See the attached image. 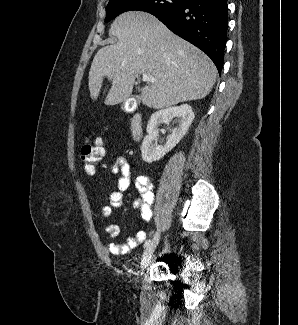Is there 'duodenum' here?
<instances>
[{
	"label": "duodenum",
	"instance_id": "duodenum-1",
	"mask_svg": "<svg viewBox=\"0 0 298 325\" xmlns=\"http://www.w3.org/2000/svg\"><path fill=\"white\" fill-rule=\"evenodd\" d=\"M129 128L134 140H139L143 134V123L141 114H134L129 122Z\"/></svg>",
	"mask_w": 298,
	"mask_h": 325
}]
</instances>
